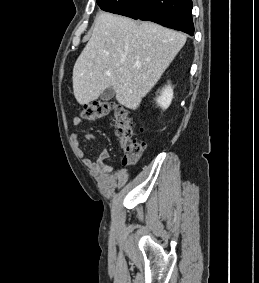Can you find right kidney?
Returning a JSON list of instances; mask_svg holds the SVG:
<instances>
[{
  "instance_id": "1",
  "label": "right kidney",
  "mask_w": 259,
  "mask_h": 283,
  "mask_svg": "<svg viewBox=\"0 0 259 283\" xmlns=\"http://www.w3.org/2000/svg\"><path fill=\"white\" fill-rule=\"evenodd\" d=\"M173 99V89L170 85L165 86L156 98L157 104L164 110L167 109Z\"/></svg>"
}]
</instances>
